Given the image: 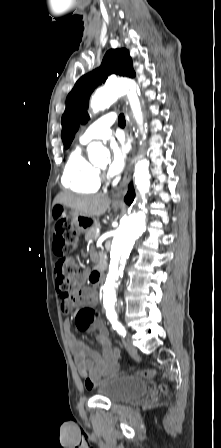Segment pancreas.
Instances as JSON below:
<instances>
[{"instance_id": "pancreas-1", "label": "pancreas", "mask_w": 221, "mask_h": 448, "mask_svg": "<svg viewBox=\"0 0 221 448\" xmlns=\"http://www.w3.org/2000/svg\"><path fill=\"white\" fill-rule=\"evenodd\" d=\"M96 223L94 224V226L93 227H91L87 232H86V234H85V240L86 241H93V240H96V238H95V235H96V232H95V227H96Z\"/></svg>"}]
</instances>
